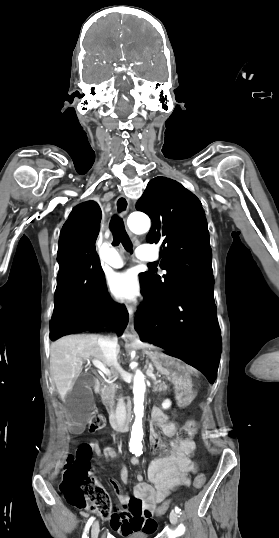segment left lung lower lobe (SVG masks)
Instances as JSON below:
<instances>
[{"label": "left lung lower lobe", "mask_w": 279, "mask_h": 538, "mask_svg": "<svg viewBox=\"0 0 279 538\" xmlns=\"http://www.w3.org/2000/svg\"><path fill=\"white\" fill-rule=\"evenodd\" d=\"M213 290V276L200 278L175 290L157 310L140 308L134 323L143 340L188 360L210 382L221 352Z\"/></svg>", "instance_id": "0a47b994"}]
</instances>
